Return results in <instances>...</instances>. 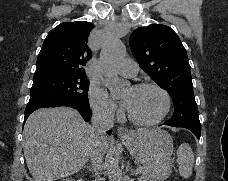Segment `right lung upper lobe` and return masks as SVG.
<instances>
[{
  "instance_id": "1",
  "label": "right lung upper lobe",
  "mask_w": 228,
  "mask_h": 181,
  "mask_svg": "<svg viewBox=\"0 0 228 181\" xmlns=\"http://www.w3.org/2000/svg\"><path fill=\"white\" fill-rule=\"evenodd\" d=\"M93 24L63 22L51 30L41 48L34 78L52 74L86 76L83 66L91 58L87 39Z\"/></svg>"
}]
</instances>
